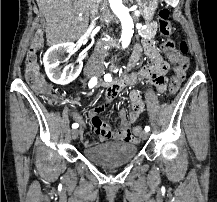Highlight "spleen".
<instances>
[{"label":"spleen","mask_w":217,"mask_h":202,"mask_svg":"<svg viewBox=\"0 0 217 202\" xmlns=\"http://www.w3.org/2000/svg\"><path fill=\"white\" fill-rule=\"evenodd\" d=\"M167 5H171V7H176V5H178V0H167Z\"/></svg>","instance_id":"obj_1"}]
</instances>
